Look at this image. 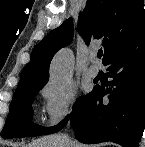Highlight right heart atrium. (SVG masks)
I'll return each instance as SVG.
<instances>
[{
	"mask_svg": "<svg viewBox=\"0 0 145 147\" xmlns=\"http://www.w3.org/2000/svg\"><path fill=\"white\" fill-rule=\"evenodd\" d=\"M44 100V123L55 127L68 119L76 100V88L71 85L47 83L41 89Z\"/></svg>",
	"mask_w": 145,
	"mask_h": 147,
	"instance_id": "right-heart-atrium-1",
	"label": "right heart atrium"
}]
</instances>
